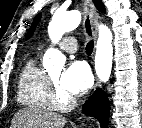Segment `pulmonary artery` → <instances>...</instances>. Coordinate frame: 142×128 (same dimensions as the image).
<instances>
[{"mask_svg": "<svg viewBox=\"0 0 142 128\" xmlns=\"http://www.w3.org/2000/svg\"><path fill=\"white\" fill-rule=\"evenodd\" d=\"M59 48L67 53H75L78 49L77 40L72 36L66 37L60 42Z\"/></svg>", "mask_w": 142, "mask_h": 128, "instance_id": "e3ab8cb5", "label": "pulmonary artery"}]
</instances>
